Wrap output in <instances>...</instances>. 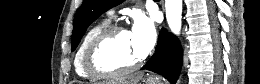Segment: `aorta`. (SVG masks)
<instances>
[{
    "instance_id": "762f6f07",
    "label": "aorta",
    "mask_w": 260,
    "mask_h": 84,
    "mask_svg": "<svg viewBox=\"0 0 260 84\" xmlns=\"http://www.w3.org/2000/svg\"><path fill=\"white\" fill-rule=\"evenodd\" d=\"M165 8L169 28L175 35H179L182 25V0H165Z\"/></svg>"
}]
</instances>
